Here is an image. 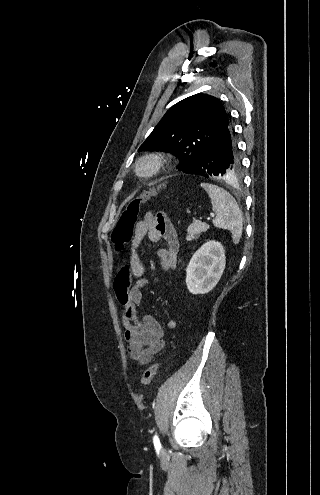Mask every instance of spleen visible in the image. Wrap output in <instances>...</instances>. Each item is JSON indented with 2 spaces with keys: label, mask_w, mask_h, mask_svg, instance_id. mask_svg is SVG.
I'll return each instance as SVG.
<instances>
[{
  "label": "spleen",
  "mask_w": 320,
  "mask_h": 495,
  "mask_svg": "<svg viewBox=\"0 0 320 495\" xmlns=\"http://www.w3.org/2000/svg\"><path fill=\"white\" fill-rule=\"evenodd\" d=\"M201 187L208 193L212 209L216 214L213 225L230 231L233 243L238 244L242 235L243 222L236 200L229 192L217 185L201 183Z\"/></svg>",
  "instance_id": "1"
}]
</instances>
